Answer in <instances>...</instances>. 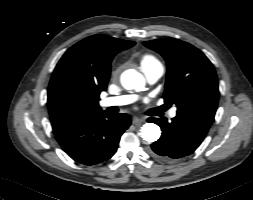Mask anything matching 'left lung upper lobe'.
<instances>
[{
	"mask_svg": "<svg viewBox=\"0 0 253 200\" xmlns=\"http://www.w3.org/2000/svg\"><path fill=\"white\" fill-rule=\"evenodd\" d=\"M167 63L164 101L177 113L214 120L218 105V79L212 63L193 45L174 38L144 42Z\"/></svg>",
	"mask_w": 253,
	"mask_h": 200,
	"instance_id": "1",
	"label": "left lung upper lobe"
}]
</instances>
